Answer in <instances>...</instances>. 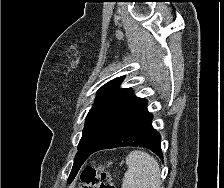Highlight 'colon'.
Wrapping results in <instances>:
<instances>
[{
	"instance_id": "colon-1",
	"label": "colon",
	"mask_w": 224,
	"mask_h": 188,
	"mask_svg": "<svg viewBox=\"0 0 224 188\" xmlns=\"http://www.w3.org/2000/svg\"><path fill=\"white\" fill-rule=\"evenodd\" d=\"M79 188H116L115 183L93 167H86L80 174Z\"/></svg>"
}]
</instances>
